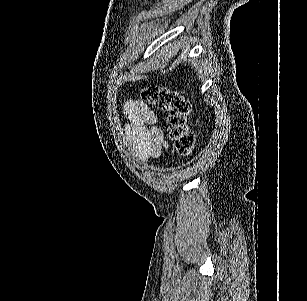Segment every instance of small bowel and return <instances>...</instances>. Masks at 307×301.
<instances>
[{
    "mask_svg": "<svg viewBox=\"0 0 307 301\" xmlns=\"http://www.w3.org/2000/svg\"><path fill=\"white\" fill-rule=\"evenodd\" d=\"M126 141L135 155L143 160L159 158L167 148L164 127L157 124V116L142 100H129L124 106Z\"/></svg>",
    "mask_w": 307,
    "mask_h": 301,
    "instance_id": "1",
    "label": "small bowel"
}]
</instances>
